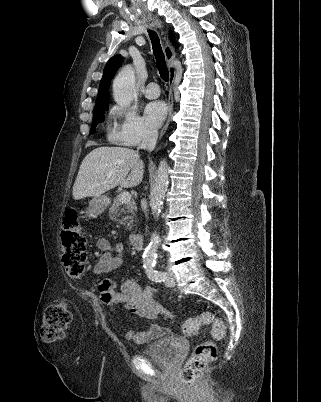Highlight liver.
Segmentation results:
<instances>
[{
	"label": "liver",
	"instance_id": "6515ba94",
	"mask_svg": "<svg viewBox=\"0 0 321 402\" xmlns=\"http://www.w3.org/2000/svg\"><path fill=\"white\" fill-rule=\"evenodd\" d=\"M143 174L144 162L138 151L124 147H98L83 159L73 186V197L80 200L100 196L119 185L125 188L137 186Z\"/></svg>",
	"mask_w": 321,
	"mask_h": 402
}]
</instances>
